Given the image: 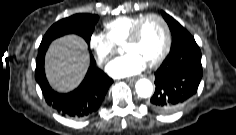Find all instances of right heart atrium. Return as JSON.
Instances as JSON below:
<instances>
[{
  "instance_id": "d8ad5b80",
  "label": "right heart atrium",
  "mask_w": 236,
  "mask_h": 135,
  "mask_svg": "<svg viewBox=\"0 0 236 135\" xmlns=\"http://www.w3.org/2000/svg\"><path fill=\"white\" fill-rule=\"evenodd\" d=\"M89 47L93 51L97 63L101 66L117 52V46L103 33H92L89 37Z\"/></svg>"
}]
</instances>
